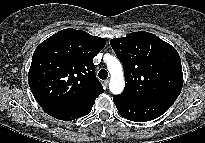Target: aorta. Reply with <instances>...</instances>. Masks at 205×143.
Returning a JSON list of instances; mask_svg holds the SVG:
<instances>
[{"label": "aorta", "mask_w": 205, "mask_h": 143, "mask_svg": "<svg viewBox=\"0 0 205 143\" xmlns=\"http://www.w3.org/2000/svg\"><path fill=\"white\" fill-rule=\"evenodd\" d=\"M107 56L106 64L111 75L109 89L112 94L118 95L123 91L125 86L122 65L115 56Z\"/></svg>", "instance_id": "aorta-1"}]
</instances>
